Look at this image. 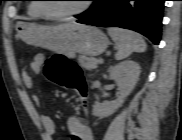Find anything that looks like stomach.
<instances>
[{
    "mask_svg": "<svg viewBox=\"0 0 182 140\" xmlns=\"http://www.w3.org/2000/svg\"><path fill=\"white\" fill-rule=\"evenodd\" d=\"M16 31L26 43L67 56L75 53L98 56L109 45L107 36L100 29L87 25L46 27L31 22H18Z\"/></svg>",
    "mask_w": 182,
    "mask_h": 140,
    "instance_id": "obj_1",
    "label": "stomach"
}]
</instances>
